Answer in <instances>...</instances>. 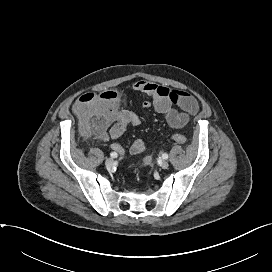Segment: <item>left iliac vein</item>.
Returning <instances> with one entry per match:
<instances>
[{"label": "left iliac vein", "mask_w": 272, "mask_h": 272, "mask_svg": "<svg viewBox=\"0 0 272 272\" xmlns=\"http://www.w3.org/2000/svg\"><path fill=\"white\" fill-rule=\"evenodd\" d=\"M161 167H162L163 169H167V168L169 167V163H168L167 161H163V162L161 163Z\"/></svg>", "instance_id": "1"}]
</instances>
